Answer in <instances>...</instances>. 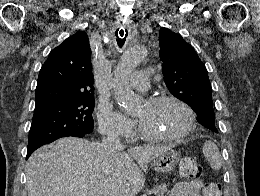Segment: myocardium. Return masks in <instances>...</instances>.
<instances>
[{"label":"myocardium","instance_id":"myocardium-1","mask_svg":"<svg viewBox=\"0 0 260 196\" xmlns=\"http://www.w3.org/2000/svg\"><path fill=\"white\" fill-rule=\"evenodd\" d=\"M164 103H175L186 110L189 116V123L187 127L182 132L177 134L162 135V134L148 132L146 130H143L139 126V132L141 136L145 140L151 142H180L186 139L196 128V113L194 109L180 97L171 94L154 96L149 98L146 102V104L151 107L164 104Z\"/></svg>","mask_w":260,"mask_h":196}]
</instances>
